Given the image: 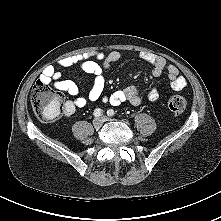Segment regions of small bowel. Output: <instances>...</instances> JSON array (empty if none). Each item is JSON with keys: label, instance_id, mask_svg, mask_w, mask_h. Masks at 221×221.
<instances>
[{"label": "small bowel", "instance_id": "small-bowel-1", "mask_svg": "<svg viewBox=\"0 0 221 221\" xmlns=\"http://www.w3.org/2000/svg\"><path fill=\"white\" fill-rule=\"evenodd\" d=\"M92 57H95V60ZM121 57L122 54L119 51H111L109 53H81L66 56L59 60V66H78L82 71L93 77L92 86L87 96H79V87L77 84L72 80L64 79L61 72L52 65L47 66L43 70L39 82L53 85L55 89L71 96V99H68L64 105V114L68 117L73 115L77 108L84 107L89 102L99 100L103 97L105 88L103 72L109 69L111 64L121 59ZM139 57L152 65V74L154 76H160L163 72H166L170 79V88L172 90L180 91L186 87V79L180 75L179 70L174 65L169 64L163 57L145 51L140 52ZM158 98V91L151 89L148 93L149 101L155 102ZM103 99L115 106L126 101L132 105H139L141 102L140 90L135 86H128L118 90Z\"/></svg>", "mask_w": 221, "mask_h": 221}]
</instances>
